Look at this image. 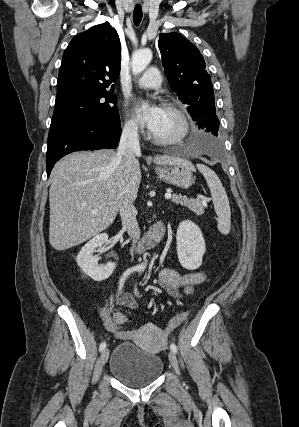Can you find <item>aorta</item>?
I'll return each instance as SVG.
<instances>
[{"label":"aorta","mask_w":299,"mask_h":427,"mask_svg":"<svg viewBox=\"0 0 299 427\" xmlns=\"http://www.w3.org/2000/svg\"><path fill=\"white\" fill-rule=\"evenodd\" d=\"M152 59V51L148 48L135 51L132 55L131 67L134 74H139L148 66ZM147 261L141 264L145 268Z\"/></svg>","instance_id":"obj_1"}]
</instances>
